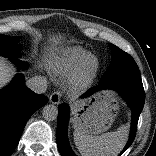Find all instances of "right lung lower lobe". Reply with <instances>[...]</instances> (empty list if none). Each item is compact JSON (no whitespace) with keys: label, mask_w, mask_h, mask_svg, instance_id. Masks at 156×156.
<instances>
[{"label":"right lung lower lobe","mask_w":156,"mask_h":156,"mask_svg":"<svg viewBox=\"0 0 156 156\" xmlns=\"http://www.w3.org/2000/svg\"><path fill=\"white\" fill-rule=\"evenodd\" d=\"M23 84V76L18 75L0 91V156L12 154L28 119L48 101Z\"/></svg>","instance_id":"1"}]
</instances>
